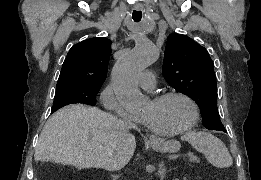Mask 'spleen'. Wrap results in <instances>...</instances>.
Returning a JSON list of instances; mask_svg holds the SVG:
<instances>
[{
    "label": "spleen",
    "mask_w": 261,
    "mask_h": 180,
    "mask_svg": "<svg viewBox=\"0 0 261 180\" xmlns=\"http://www.w3.org/2000/svg\"><path fill=\"white\" fill-rule=\"evenodd\" d=\"M181 140L189 142L197 152L204 154L209 164L215 168H230L233 164L232 156L225 144L206 132H186Z\"/></svg>",
    "instance_id": "3e777b00"
}]
</instances>
